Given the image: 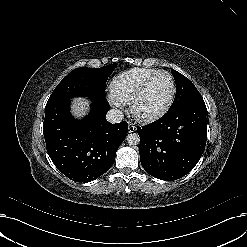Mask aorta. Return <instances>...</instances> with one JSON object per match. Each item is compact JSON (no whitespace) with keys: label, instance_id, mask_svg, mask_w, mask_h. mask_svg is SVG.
<instances>
[{"label":"aorta","instance_id":"aorta-1","mask_svg":"<svg viewBox=\"0 0 247 247\" xmlns=\"http://www.w3.org/2000/svg\"><path fill=\"white\" fill-rule=\"evenodd\" d=\"M127 143L129 145H138L140 142V137L137 133H130L126 137Z\"/></svg>","mask_w":247,"mask_h":247}]
</instances>
